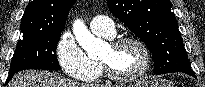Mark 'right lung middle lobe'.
<instances>
[{
  "label": "right lung middle lobe",
  "instance_id": "dd1d6c3e",
  "mask_svg": "<svg viewBox=\"0 0 205 87\" xmlns=\"http://www.w3.org/2000/svg\"><path fill=\"white\" fill-rule=\"evenodd\" d=\"M61 31L24 33L13 55L9 75L26 69L60 70L55 52Z\"/></svg>",
  "mask_w": 205,
  "mask_h": 87
}]
</instances>
